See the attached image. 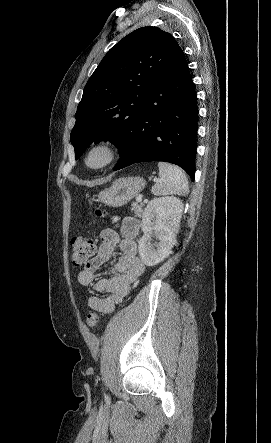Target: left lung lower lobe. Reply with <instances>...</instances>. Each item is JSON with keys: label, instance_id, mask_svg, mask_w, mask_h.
Here are the masks:
<instances>
[{"label": "left lung lower lobe", "instance_id": "obj_1", "mask_svg": "<svg viewBox=\"0 0 271 443\" xmlns=\"http://www.w3.org/2000/svg\"><path fill=\"white\" fill-rule=\"evenodd\" d=\"M146 106L114 167L163 161L182 167L194 180L197 98L188 63L179 47L151 81Z\"/></svg>", "mask_w": 271, "mask_h": 443}]
</instances>
